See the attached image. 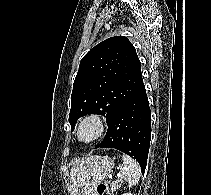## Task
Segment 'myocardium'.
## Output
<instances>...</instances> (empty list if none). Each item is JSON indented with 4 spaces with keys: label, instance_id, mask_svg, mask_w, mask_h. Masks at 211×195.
Listing matches in <instances>:
<instances>
[{
    "label": "myocardium",
    "instance_id": "1",
    "mask_svg": "<svg viewBox=\"0 0 211 195\" xmlns=\"http://www.w3.org/2000/svg\"><path fill=\"white\" fill-rule=\"evenodd\" d=\"M87 123L95 124L96 132L91 138L84 139L81 136V130ZM107 127H108L107 121L101 114H98V113L88 114L84 116L79 122L77 126V130H76V136L80 142H83L86 144L92 143V142L97 141L106 133Z\"/></svg>",
    "mask_w": 211,
    "mask_h": 195
}]
</instances>
